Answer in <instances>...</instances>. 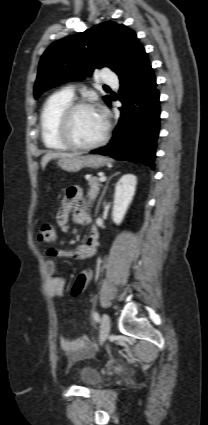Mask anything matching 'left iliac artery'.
I'll return each mask as SVG.
<instances>
[{
	"label": "left iliac artery",
	"instance_id": "obj_1",
	"mask_svg": "<svg viewBox=\"0 0 208 425\" xmlns=\"http://www.w3.org/2000/svg\"><path fill=\"white\" fill-rule=\"evenodd\" d=\"M93 318H94V320H95V321H97V322H99V321H100V317H99V314H98L97 312H94V313H93Z\"/></svg>",
	"mask_w": 208,
	"mask_h": 425
}]
</instances>
